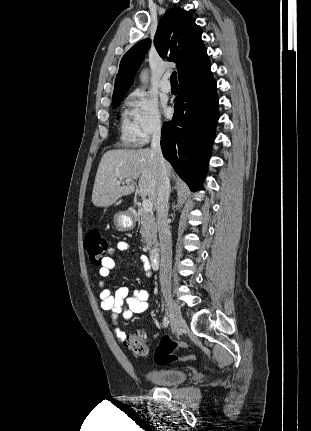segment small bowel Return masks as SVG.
Here are the masks:
<instances>
[{"label": "small bowel", "instance_id": "obj_1", "mask_svg": "<svg viewBox=\"0 0 311 431\" xmlns=\"http://www.w3.org/2000/svg\"><path fill=\"white\" fill-rule=\"evenodd\" d=\"M117 249L120 251L137 252V249L124 241L117 243ZM139 262L143 265L147 272H150V266L147 258L144 255L139 257ZM117 263V256L114 250L106 256L99 269V274L102 277H107L111 270L114 269ZM100 301L101 308L105 311H110L113 317V325L116 334L122 341L126 338L125 333L120 329L118 318L121 316L123 319L128 320L134 314L144 313L149 308L150 294L145 289L130 290L128 287H120L112 294L104 282L100 283Z\"/></svg>", "mask_w": 311, "mask_h": 431}]
</instances>
